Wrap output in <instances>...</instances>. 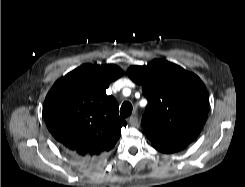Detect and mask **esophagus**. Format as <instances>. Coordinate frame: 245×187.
Returning a JSON list of instances; mask_svg holds the SVG:
<instances>
[{"instance_id": "esophagus-1", "label": "esophagus", "mask_w": 245, "mask_h": 187, "mask_svg": "<svg viewBox=\"0 0 245 187\" xmlns=\"http://www.w3.org/2000/svg\"><path fill=\"white\" fill-rule=\"evenodd\" d=\"M128 122L131 126L133 127H137L138 126V118L136 116H131L129 119H128Z\"/></svg>"}]
</instances>
